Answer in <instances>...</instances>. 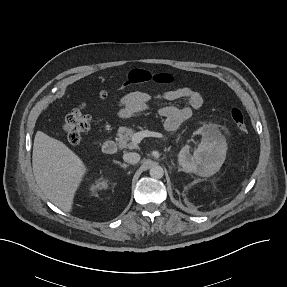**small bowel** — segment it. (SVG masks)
I'll return each instance as SVG.
<instances>
[{
    "mask_svg": "<svg viewBox=\"0 0 287 287\" xmlns=\"http://www.w3.org/2000/svg\"><path fill=\"white\" fill-rule=\"evenodd\" d=\"M166 101L168 104L160 107L157 112L164 118L165 127L174 131L183 125L203 105L202 95L191 88L180 87L164 91L152 96L144 91H133L124 95L119 101L118 114L127 119L133 115L148 110L154 101ZM186 101L187 106H178L177 101Z\"/></svg>",
    "mask_w": 287,
    "mask_h": 287,
    "instance_id": "1",
    "label": "small bowel"
}]
</instances>
